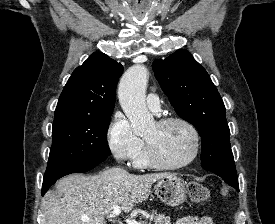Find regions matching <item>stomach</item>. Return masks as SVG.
I'll return each instance as SVG.
<instances>
[{
    "label": "stomach",
    "mask_w": 275,
    "mask_h": 224,
    "mask_svg": "<svg viewBox=\"0 0 275 224\" xmlns=\"http://www.w3.org/2000/svg\"><path fill=\"white\" fill-rule=\"evenodd\" d=\"M157 197L168 206H178L186 200V182L174 174L160 179L154 187Z\"/></svg>",
    "instance_id": "0dacf381"
}]
</instances>
